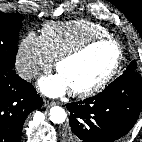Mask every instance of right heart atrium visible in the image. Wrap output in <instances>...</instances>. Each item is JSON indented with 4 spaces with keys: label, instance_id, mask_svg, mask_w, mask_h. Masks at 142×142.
Masks as SVG:
<instances>
[{
    "label": "right heart atrium",
    "instance_id": "right-heart-atrium-1",
    "mask_svg": "<svg viewBox=\"0 0 142 142\" xmlns=\"http://www.w3.org/2000/svg\"><path fill=\"white\" fill-rule=\"evenodd\" d=\"M52 62L40 36L30 32L20 41L16 53V68L23 79L30 80L40 70H48Z\"/></svg>",
    "mask_w": 142,
    "mask_h": 142
}]
</instances>
